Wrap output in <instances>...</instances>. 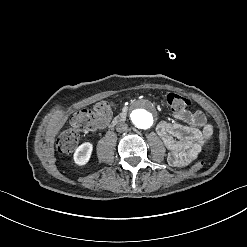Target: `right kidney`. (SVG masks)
Instances as JSON below:
<instances>
[{
	"mask_svg": "<svg viewBox=\"0 0 247 247\" xmlns=\"http://www.w3.org/2000/svg\"><path fill=\"white\" fill-rule=\"evenodd\" d=\"M93 145L90 142H84L79 145L73 153V161L77 166L86 165L92 155Z\"/></svg>",
	"mask_w": 247,
	"mask_h": 247,
	"instance_id": "1",
	"label": "right kidney"
}]
</instances>
